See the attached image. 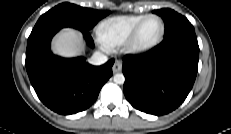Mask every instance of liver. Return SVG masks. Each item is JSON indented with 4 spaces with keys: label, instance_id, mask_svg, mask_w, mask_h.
I'll use <instances>...</instances> for the list:
<instances>
[{
    "label": "liver",
    "instance_id": "obj_1",
    "mask_svg": "<svg viewBox=\"0 0 231 134\" xmlns=\"http://www.w3.org/2000/svg\"><path fill=\"white\" fill-rule=\"evenodd\" d=\"M52 47L54 53L58 55L74 57L81 52L83 42L77 31L71 28H66L55 36Z\"/></svg>",
    "mask_w": 231,
    "mask_h": 134
}]
</instances>
